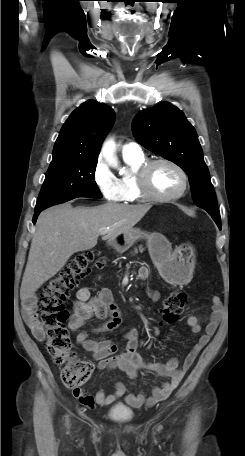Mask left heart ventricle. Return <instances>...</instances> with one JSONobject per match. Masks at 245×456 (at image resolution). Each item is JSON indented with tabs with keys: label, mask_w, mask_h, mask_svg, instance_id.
<instances>
[{
	"label": "left heart ventricle",
	"mask_w": 245,
	"mask_h": 456,
	"mask_svg": "<svg viewBox=\"0 0 245 456\" xmlns=\"http://www.w3.org/2000/svg\"><path fill=\"white\" fill-rule=\"evenodd\" d=\"M150 182L155 193L162 196L175 194L181 188V177L167 164H158L151 171Z\"/></svg>",
	"instance_id": "obj_1"
}]
</instances>
